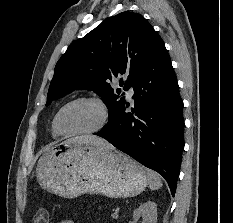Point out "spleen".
<instances>
[{"label": "spleen", "instance_id": "1", "mask_svg": "<svg viewBox=\"0 0 233 223\" xmlns=\"http://www.w3.org/2000/svg\"><path fill=\"white\" fill-rule=\"evenodd\" d=\"M147 177L149 181L150 189H159L162 185L161 177H159L156 171H152V169H148Z\"/></svg>", "mask_w": 233, "mask_h": 223}]
</instances>
